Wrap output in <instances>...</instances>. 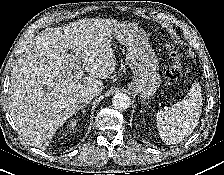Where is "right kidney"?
<instances>
[{"mask_svg":"<svg viewBox=\"0 0 224 175\" xmlns=\"http://www.w3.org/2000/svg\"><path fill=\"white\" fill-rule=\"evenodd\" d=\"M78 123V120L77 119H72L70 121V124H68L69 128H74L76 126V124Z\"/></svg>","mask_w":224,"mask_h":175,"instance_id":"obj_1","label":"right kidney"}]
</instances>
